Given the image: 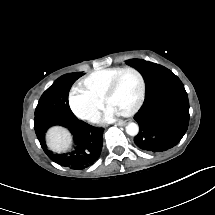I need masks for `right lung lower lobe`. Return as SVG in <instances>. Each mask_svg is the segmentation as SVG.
<instances>
[{
    "label": "right lung lower lobe",
    "instance_id": "obj_1",
    "mask_svg": "<svg viewBox=\"0 0 215 215\" xmlns=\"http://www.w3.org/2000/svg\"><path fill=\"white\" fill-rule=\"evenodd\" d=\"M66 127L73 134L75 147L71 152L56 154L45 144V134L51 126ZM34 128L42 149L55 163L80 170L92 165L100 156L103 145V128H94L87 123L63 117L48 118L34 122Z\"/></svg>",
    "mask_w": 215,
    "mask_h": 215
}]
</instances>
